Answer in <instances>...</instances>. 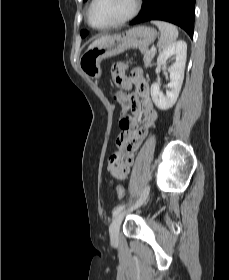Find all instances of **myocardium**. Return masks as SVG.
<instances>
[{"mask_svg":"<svg viewBox=\"0 0 229 280\" xmlns=\"http://www.w3.org/2000/svg\"><path fill=\"white\" fill-rule=\"evenodd\" d=\"M96 2H97V0H92L90 6L88 8L87 21H88V23L91 27H93L95 29H98V30H104V29H108V28L123 25V24L131 21L133 18H135L136 15L139 13V11L141 9V0H133V7H132L131 12L128 15H126L125 17H123V18H121V19H119L115 22H112V23H109V24H106V25H103V26H96L91 21L92 9H93L94 5L96 4Z\"/></svg>","mask_w":229,"mask_h":280,"instance_id":"obj_1","label":"myocardium"}]
</instances>
